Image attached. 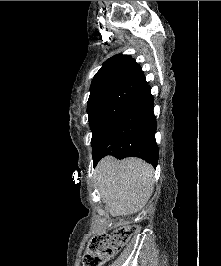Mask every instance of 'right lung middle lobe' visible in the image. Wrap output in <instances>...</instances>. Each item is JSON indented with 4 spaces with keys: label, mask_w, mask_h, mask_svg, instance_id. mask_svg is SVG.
Instances as JSON below:
<instances>
[{
    "label": "right lung middle lobe",
    "mask_w": 221,
    "mask_h": 266,
    "mask_svg": "<svg viewBox=\"0 0 221 266\" xmlns=\"http://www.w3.org/2000/svg\"><path fill=\"white\" fill-rule=\"evenodd\" d=\"M142 89L140 86H119L101 89L90 94L87 113L92 131L93 153Z\"/></svg>",
    "instance_id": "dd1d6c3e"
}]
</instances>
